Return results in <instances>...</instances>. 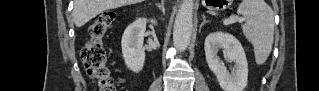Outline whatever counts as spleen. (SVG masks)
<instances>
[{
	"label": "spleen",
	"instance_id": "3e777b00",
	"mask_svg": "<svg viewBox=\"0 0 319 91\" xmlns=\"http://www.w3.org/2000/svg\"><path fill=\"white\" fill-rule=\"evenodd\" d=\"M237 13L245 20L242 31L253 45L255 62L262 65L270 55L274 40L272 8L264 0H243Z\"/></svg>",
	"mask_w": 319,
	"mask_h": 91
}]
</instances>
